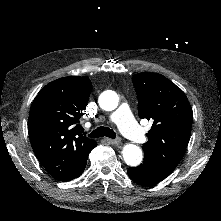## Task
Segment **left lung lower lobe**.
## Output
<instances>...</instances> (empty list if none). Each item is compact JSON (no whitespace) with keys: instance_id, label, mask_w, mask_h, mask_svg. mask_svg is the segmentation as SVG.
Returning a JSON list of instances; mask_svg holds the SVG:
<instances>
[{"instance_id":"left-lung-lower-lobe-1","label":"left lung lower lobe","mask_w":221,"mask_h":221,"mask_svg":"<svg viewBox=\"0 0 221 221\" xmlns=\"http://www.w3.org/2000/svg\"><path fill=\"white\" fill-rule=\"evenodd\" d=\"M127 173L133 181L145 186L155 185L170 174L154 165L147 158H144L140 166L129 168Z\"/></svg>"}]
</instances>
